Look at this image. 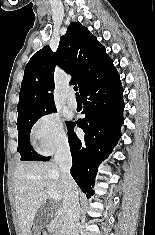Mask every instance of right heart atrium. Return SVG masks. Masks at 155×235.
Returning a JSON list of instances; mask_svg holds the SVG:
<instances>
[{
  "label": "right heart atrium",
  "mask_w": 155,
  "mask_h": 235,
  "mask_svg": "<svg viewBox=\"0 0 155 235\" xmlns=\"http://www.w3.org/2000/svg\"><path fill=\"white\" fill-rule=\"evenodd\" d=\"M31 138L36 150L42 154H52L68 146V137L60 116L46 113L32 126Z\"/></svg>",
  "instance_id": "1"
}]
</instances>
